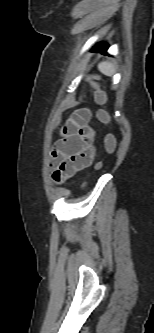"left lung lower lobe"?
<instances>
[{
  "label": "left lung lower lobe",
  "instance_id": "0a47b994",
  "mask_svg": "<svg viewBox=\"0 0 154 333\" xmlns=\"http://www.w3.org/2000/svg\"><path fill=\"white\" fill-rule=\"evenodd\" d=\"M108 49V45L104 42L97 44L92 51H98L101 53L106 54V50Z\"/></svg>",
  "mask_w": 154,
  "mask_h": 333
}]
</instances>
